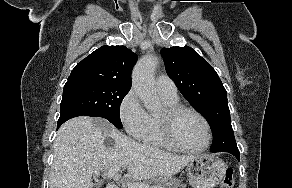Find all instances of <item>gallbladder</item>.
<instances>
[{
  "mask_svg": "<svg viewBox=\"0 0 292 188\" xmlns=\"http://www.w3.org/2000/svg\"><path fill=\"white\" fill-rule=\"evenodd\" d=\"M102 185H103V182H96V183L94 184V187H95V188H101Z\"/></svg>",
  "mask_w": 292,
  "mask_h": 188,
  "instance_id": "bac80fb5",
  "label": "gallbladder"
}]
</instances>
